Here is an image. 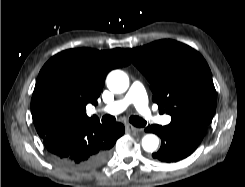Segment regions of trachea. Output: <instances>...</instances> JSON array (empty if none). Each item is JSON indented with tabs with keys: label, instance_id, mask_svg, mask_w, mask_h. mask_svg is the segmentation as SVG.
Instances as JSON below:
<instances>
[{
	"label": "trachea",
	"instance_id": "3493384b",
	"mask_svg": "<svg viewBox=\"0 0 245 187\" xmlns=\"http://www.w3.org/2000/svg\"><path fill=\"white\" fill-rule=\"evenodd\" d=\"M115 120H116L115 117L111 115H105L102 118V122L104 124H112ZM129 121L131 124H133L136 127H143L147 124V122L144 119L140 118L139 116H131L129 118Z\"/></svg>",
	"mask_w": 245,
	"mask_h": 187
}]
</instances>
